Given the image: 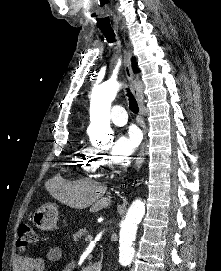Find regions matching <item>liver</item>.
Wrapping results in <instances>:
<instances>
[{
  "label": "liver",
  "mask_w": 221,
  "mask_h": 271,
  "mask_svg": "<svg viewBox=\"0 0 221 271\" xmlns=\"http://www.w3.org/2000/svg\"><path fill=\"white\" fill-rule=\"evenodd\" d=\"M46 189L53 197L59 199L60 203H65L75 209H84L89 205H93L94 209H103L110 205L108 197H101L107 189L106 185L94 181V179H77L75 183H68L59 177L55 181H47ZM96 191H100V193H96Z\"/></svg>",
  "instance_id": "obj_1"
}]
</instances>
